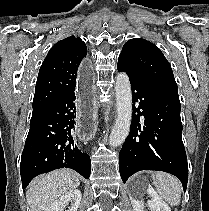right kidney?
I'll use <instances>...</instances> for the list:
<instances>
[{
	"instance_id": "1",
	"label": "right kidney",
	"mask_w": 209,
	"mask_h": 211,
	"mask_svg": "<svg viewBox=\"0 0 209 211\" xmlns=\"http://www.w3.org/2000/svg\"><path fill=\"white\" fill-rule=\"evenodd\" d=\"M81 198V191L78 189H73L61 196L58 200H55L53 203H51L45 211H63L69 202H71L72 205L68 211H77L81 202Z\"/></svg>"
}]
</instances>
